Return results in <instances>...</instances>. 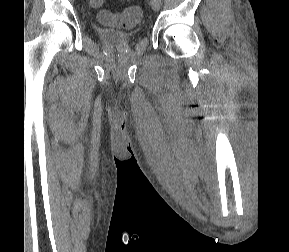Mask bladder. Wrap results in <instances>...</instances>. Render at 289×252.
<instances>
[{
    "instance_id": "bladder-1",
    "label": "bladder",
    "mask_w": 289,
    "mask_h": 252,
    "mask_svg": "<svg viewBox=\"0 0 289 252\" xmlns=\"http://www.w3.org/2000/svg\"><path fill=\"white\" fill-rule=\"evenodd\" d=\"M96 33L105 44L111 46L126 45L136 37L135 31L124 32L102 27H97Z\"/></svg>"
}]
</instances>
